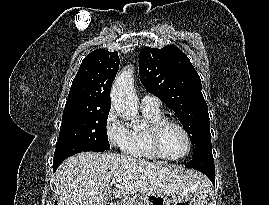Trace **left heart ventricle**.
Wrapping results in <instances>:
<instances>
[{
    "instance_id": "left-heart-ventricle-1",
    "label": "left heart ventricle",
    "mask_w": 269,
    "mask_h": 205,
    "mask_svg": "<svg viewBox=\"0 0 269 205\" xmlns=\"http://www.w3.org/2000/svg\"><path fill=\"white\" fill-rule=\"evenodd\" d=\"M161 144L164 152L171 157H179L187 150V140L184 133L172 125L163 131Z\"/></svg>"
}]
</instances>
